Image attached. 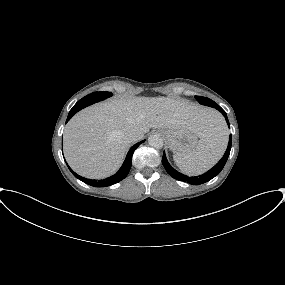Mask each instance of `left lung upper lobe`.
Returning <instances> with one entry per match:
<instances>
[{
  "instance_id": "1",
  "label": "left lung upper lobe",
  "mask_w": 285,
  "mask_h": 285,
  "mask_svg": "<svg viewBox=\"0 0 285 285\" xmlns=\"http://www.w3.org/2000/svg\"><path fill=\"white\" fill-rule=\"evenodd\" d=\"M195 98L202 105H206V106H210V107H214V108H217V106H219L209 98L202 97V96H195Z\"/></svg>"
}]
</instances>
